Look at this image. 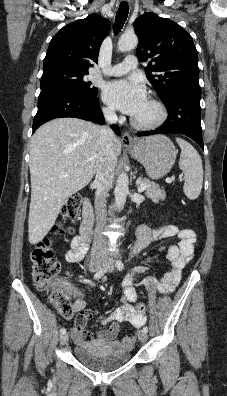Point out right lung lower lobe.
<instances>
[{"instance_id":"obj_1","label":"right lung lower lobe","mask_w":227,"mask_h":396,"mask_svg":"<svg viewBox=\"0 0 227 396\" xmlns=\"http://www.w3.org/2000/svg\"><path fill=\"white\" fill-rule=\"evenodd\" d=\"M61 117H75L104 123L97 97H86L63 89L40 93L38 111L33 121V132L45 122ZM112 128L117 135L120 134L116 125Z\"/></svg>"}]
</instances>
